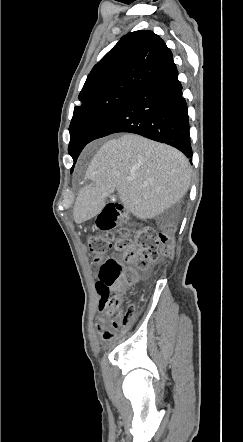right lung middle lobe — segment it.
Returning a JSON list of instances; mask_svg holds the SVG:
<instances>
[{"label":"right lung middle lobe","mask_w":243,"mask_h":442,"mask_svg":"<svg viewBox=\"0 0 243 442\" xmlns=\"http://www.w3.org/2000/svg\"><path fill=\"white\" fill-rule=\"evenodd\" d=\"M132 91L124 89L106 93L86 100L74 108L69 127L70 144L68 147L74 164L82 149L92 141L93 135L105 119Z\"/></svg>","instance_id":"obj_1"}]
</instances>
